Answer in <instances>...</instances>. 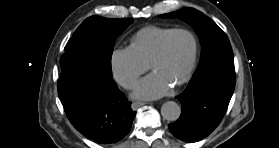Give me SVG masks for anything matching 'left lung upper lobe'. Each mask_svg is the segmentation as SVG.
Listing matches in <instances>:
<instances>
[{
    "instance_id": "5c2ea615",
    "label": "left lung upper lobe",
    "mask_w": 279,
    "mask_h": 148,
    "mask_svg": "<svg viewBox=\"0 0 279 148\" xmlns=\"http://www.w3.org/2000/svg\"><path fill=\"white\" fill-rule=\"evenodd\" d=\"M162 17H177L193 26L201 43V57L195 74L208 66L222 61H234L227 35L209 17L194 8H183L164 14Z\"/></svg>"
}]
</instances>
